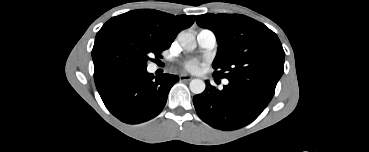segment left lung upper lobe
<instances>
[{"label":"left lung upper lobe","instance_id":"1","mask_svg":"<svg viewBox=\"0 0 369 152\" xmlns=\"http://www.w3.org/2000/svg\"><path fill=\"white\" fill-rule=\"evenodd\" d=\"M200 27L214 32L218 42L213 76L241 83L276 86L284 72L285 53L277 35L264 24L239 14H204Z\"/></svg>","mask_w":369,"mask_h":152}]
</instances>
